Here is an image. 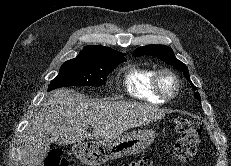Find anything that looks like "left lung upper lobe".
<instances>
[{"mask_svg": "<svg viewBox=\"0 0 231 166\" xmlns=\"http://www.w3.org/2000/svg\"><path fill=\"white\" fill-rule=\"evenodd\" d=\"M133 55L136 57L143 56V55H150V56L157 57L158 59L166 62L167 64L173 65L175 68L182 70L185 78L187 80H190L187 66L175 57L174 52L170 47H167L165 45H154V44L146 45L137 48L133 52ZM190 84L194 88V90L197 89L192 82H190ZM194 96L198 100L201 99L200 94L198 92H195Z\"/></svg>", "mask_w": 231, "mask_h": 166, "instance_id": "1", "label": "left lung upper lobe"}]
</instances>
